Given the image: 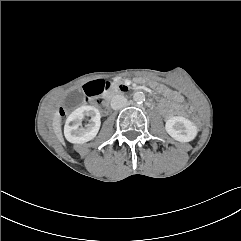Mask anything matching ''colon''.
Returning <instances> with one entry per match:
<instances>
[{
    "instance_id": "colon-1",
    "label": "colon",
    "mask_w": 241,
    "mask_h": 241,
    "mask_svg": "<svg viewBox=\"0 0 241 241\" xmlns=\"http://www.w3.org/2000/svg\"><path fill=\"white\" fill-rule=\"evenodd\" d=\"M109 84L103 80H95L87 83L84 86V99L94 100L97 104H101V95L104 91L107 90ZM69 108L63 107L60 110V115L64 116L68 113ZM185 113L188 115H194L196 113L195 105L190 102L185 107Z\"/></svg>"
}]
</instances>
